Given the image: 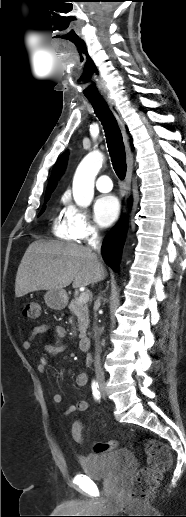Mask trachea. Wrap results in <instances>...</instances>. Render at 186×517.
<instances>
[{
    "mask_svg": "<svg viewBox=\"0 0 186 517\" xmlns=\"http://www.w3.org/2000/svg\"><path fill=\"white\" fill-rule=\"evenodd\" d=\"M86 97L91 102L96 116L103 125L113 169L120 179H124L126 175V154L117 121L108 104L100 95L91 94L86 95Z\"/></svg>",
    "mask_w": 186,
    "mask_h": 517,
    "instance_id": "1",
    "label": "trachea"
}]
</instances>
